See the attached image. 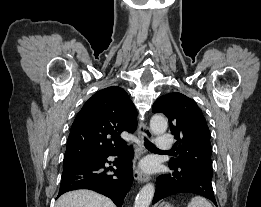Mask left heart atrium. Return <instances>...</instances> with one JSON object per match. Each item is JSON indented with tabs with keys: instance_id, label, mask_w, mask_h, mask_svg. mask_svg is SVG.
I'll return each instance as SVG.
<instances>
[{
	"instance_id": "1",
	"label": "left heart atrium",
	"mask_w": 261,
	"mask_h": 207,
	"mask_svg": "<svg viewBox=\"0 0 261 207\" xmlns=\"http://www.w3.org/2000/svg\"><path fill=\"white\" fill-rule=\"evenodd\" d=\"M143 169H144L145 171H150V170L152 169V163H151V162H145V163L143 164Z\"/></svg>"
}]
</instances>
